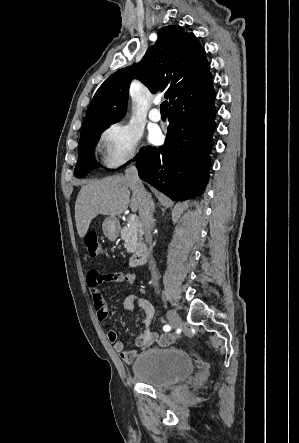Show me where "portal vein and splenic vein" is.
I'll list each match as a JSON object with an SVG mask.
<instances>
[{
    "instance_id": "obj_1",
    "label": "portal vein and splenic vein",
    "mask_w": 299,
    "mask_h": 443,
    "mask_svg": "<svg viewBox=\"0 0 299 443\" xmlns=\"http://www.w3.org/2000/svg\"><path fill=\"white\" fill-rule=\"evenodd\" d=\"M138 222V218L136 215H131L129 218V223H137Z\"/></svg>"
}]
</instances>
